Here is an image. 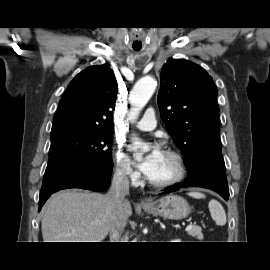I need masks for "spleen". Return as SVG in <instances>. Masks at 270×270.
<instances>
[{"label":"spleen","instance_id":"3e777b00","mask_svg":"<svg viewBox=\"0 0 270 270\" xmlns=\"http://www.w3.org/2000/svg\"><path fill=\"white\" fill-rule=\"evenodd\" d=\"M189 196L196 198V199H201L205 198V195L200 192H189ZM209 211L211 213L212 219L215 221V223L219 226H223L226 224V213L222 207V205L215 199H212L209 202Z\"/></svg>","mask_w":270,"mask_h":270}]
</instances>
